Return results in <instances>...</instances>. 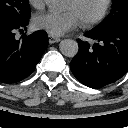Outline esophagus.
Masks as SVG:
<instances>
[{"label":"esophagus","mask_w":128,"mask_h":128,"mask_svg":"<svg viewBox=\"0 0 128 128\" xmlns=\"http://www.w3.org/2000/svg\"><path fill=\"white\" fill-rule=\"evenodd\" d=\"M48 40L50 44L57 43L60 41V38L55 37L53 35H48Z\"/></svg>","instance_id":"34e87169"}]
</instances>
